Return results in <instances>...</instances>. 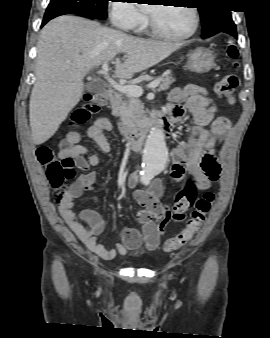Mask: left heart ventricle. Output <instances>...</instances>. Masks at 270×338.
<instances>
[{
	"instance_id": "1",
	"label": "left heart ventricle",
	"mask_w": 270,
	"mask_h": 338,
	"mask_svg": "<svg viewBox=\"0 0 270 338\" xmlns=\"http://www.w3.org/2000/svg\"><path fill=\"white\" fill-rule=\"evenodd\" d=\"M149 13L165 33L185 34L193 27V15L187 7L150 5Z\"/></svg>"
}]
</instances>
